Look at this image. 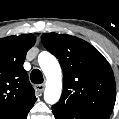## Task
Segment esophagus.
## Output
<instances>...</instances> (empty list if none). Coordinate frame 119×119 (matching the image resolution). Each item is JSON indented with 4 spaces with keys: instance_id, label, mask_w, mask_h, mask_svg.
<instances>
[{
    "instance_id": "obj_1",
    "label": "esophagus",
    "mask_w": 119,
    "mask_h": 119,
    "mask_svg": "<svg viewBox=\"0 0 119 119\" xmlns=\"http://www.w3.org/2000/svg\"><path fill=\"white\" fill-rule=\"evenodd\" d=\"M35 89L39 94H41L44 90V85L43 84L35 85Z\"/></svg>"
}]
</instances>
